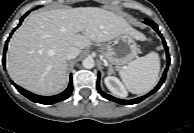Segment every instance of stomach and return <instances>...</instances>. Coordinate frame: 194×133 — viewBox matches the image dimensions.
Segmentation results:
<instances>
[{
	"instance_id": "obj_1",
	"label": "stomach",
	"mask_w": 194,
	"mask_h": 133,
	"mask_svg": "<svg viewBox=\"0 0 194 133\" xmlns=\"http://www.w3.org/2000/svg\"><path fill=\"white\" fill-rule=\"evenodd\" d=\"M102 55L110 65L122 66L131 62L138 53V46L131 34H121L102 46Z\"/></svg>"
}]
</instances>
